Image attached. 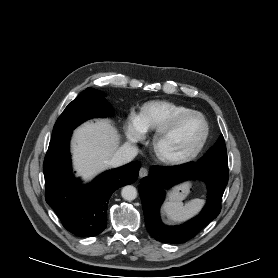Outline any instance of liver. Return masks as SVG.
I'll return each mask as SVG.
<instances>
[{
    "mask_svg": "<svg viewBox=\"0 0 278 278\" xmlns=\"http://www.w3.org/2000/svg\"><path fill=\"white\" fill-rule=\"evenodd\" d=\"M119 149L117 130L107 120L86 122L78 127L72 140L73 164L85 181L110 167Z\"/></svg>",
    "mask_w": 278,
    "mask_h": 278,
    "instance_id": "liver-1",
    "label": "liver"
}]
</instances>
